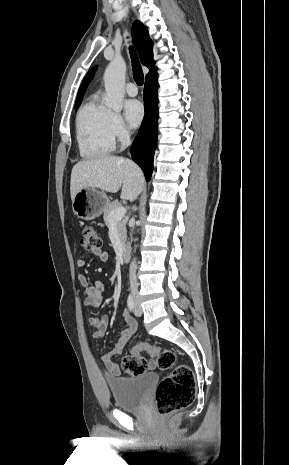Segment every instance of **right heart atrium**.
Instances as JSON below:
<instances>
[{"instance_id": "d8ad5b80", "label": "right heart atrium", "mask_w": 289, "mask_h": 465, "mask_svg": "<svg viewBox=\"0 0 289 465\" xmlns=\"http://www.w3.org/2000/svg\"><path fill=\"white\" fill-rule=\"evenodd\" d=\"M110 129L114 139L125 143L130 138V130L121 115L112 113L110 118Z\"/></svg>"}]
</instances>
